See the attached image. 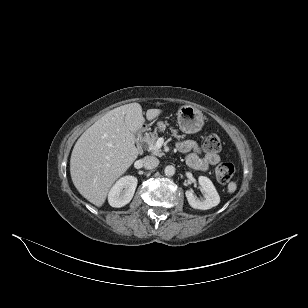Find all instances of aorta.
Returning a JSON list of instances; mask_svg holds the SVG:
<instances>
[{"label": "aorta", "instance_id": "762f6f07", "mask_svg": "<svg viewBox=\"0 0 308 308\" xmlns=\"http://www.w3.org/2000/svg\"><path fill=\"white\" fill-rule=\"evenodd\" d=\"M164 173L167 176H173L175 174V167L172 166V165L166 166L165 169H164Z\"/></svg>", "mask_w": 308, "mask_h": 308}]
</instances>
